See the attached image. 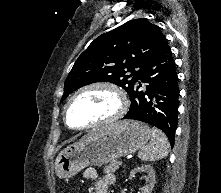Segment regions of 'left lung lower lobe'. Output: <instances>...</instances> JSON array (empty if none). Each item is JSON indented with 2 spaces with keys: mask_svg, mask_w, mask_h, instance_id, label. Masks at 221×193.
Instances as JSON below:
<instances>
[{
  "mask_svg": "<svg viewBox=\"0 0 221 193\" xmlns=\"http://www.w3.org/2000/svg\"><path fill=\"white\" fill-rule=\"evenodd\" d=\"M145 83V91L140 90ZM131 106L124 119H134L161 129L174 145L179 87L175 62L168 44L151 59L138 76L130 95Z\"/></svg>",
  "mask_w": 221,
  "mask_h": 193,
  "instance_id": "left-lung-lower-lobe-1",
  "label": "left lung lower lobe"
}]
</instances>
